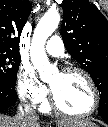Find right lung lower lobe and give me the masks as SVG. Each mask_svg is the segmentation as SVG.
<instances>
[{"mask_svg": "<svg viewBox=\"0 0 108 127\" xmlns=\"http://www.w3.org/2000/svg\"><path fill=\"white\" fill-rule=\"evenodd\" d=\"M14 87L0 83V111L7 110L16 102L18 96Z\"/></svg>", "mask_w": 108, "mask_h": 127, "instance_id": "right-lung-lower-lobe-1", "label": "right lung lower lobe"}]
</instances>
